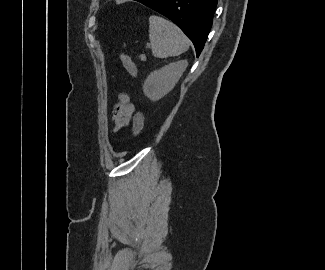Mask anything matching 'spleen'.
<instances>
[{
	"label": "spleen",
	"mask_w": 325,
	"mask_h": 270,
	"mask_svg": "<svg viewBox=\"0 0 325 270\" xmlns=\"http://www.w3.org/2000/svg\"><path fill=\"white\" fill-rule=\"evenodd\" d=\"M149 39L157 58L178 56L189 48L184 33L171 21L156 15L149 17Z\"/></svg>",
	"instance_id": "spleen-1"
}]
</instances>
